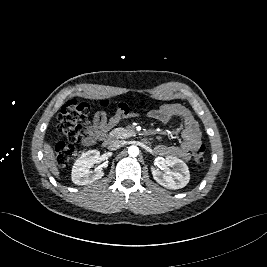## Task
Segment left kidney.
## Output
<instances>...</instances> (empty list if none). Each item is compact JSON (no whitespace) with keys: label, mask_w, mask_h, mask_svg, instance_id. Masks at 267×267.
I'll return each mask as SVG.
<instances>
[{"label":"left kidney","mask_w":267,"mask_h":267,"mask_svg":"<svg viewBox=\"0 0 267 267\" xmlns=\"http://www.w3.org/2000/svg\"><path fill=\"white\" fill-rule=\"evenodd\" d=\"M170 167H173V169H170ZM164 169L165 171L162 172L159 169L152 168L153 178L161 186L175 190L181 189L189 183V169L181 159L167 156L164 161Z\"/></svg>","instance_id":"left-kidney-1"}]
</instances>
